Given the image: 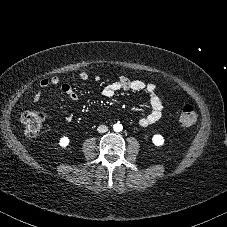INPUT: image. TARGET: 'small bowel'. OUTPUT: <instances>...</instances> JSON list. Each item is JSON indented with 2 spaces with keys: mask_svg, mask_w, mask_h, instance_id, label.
I'll list each match as a JSON object with an SVG mask.
<instances>
[{
  "mask_svg": "<svg viewBox=\"0 0 227 227\" xmlns=\"http://www.w3.org/2000/svg\"><path fill=\"white\" fill-rule=\"evenodd\" d=\"M89 78L86 72H81L78 75V79L82 82L87 81ZM95 82H99L100 78L98 76L94 77ZM50 86H58L60 92L67 96L72 101H79L80 95L73 88L72 85L68 83H63L60 78L52 77L50 79H43L40 82V88L35 92L33 96V104H38L42 98L43 90ZM129 91H145L149 97L150 110L139 119L138 123L140 126H148L156 121H158L163 113V104L157 93V88L152 83H146L142 80H131L126 76L119 77L118 80L107 84L103 89V95L106 97H112L117 92H129ZM65 122H71L72 117L66 116Z\"/></svg>",
  "mask_w": 227,
  "mask_h": 227,
  "instance_id": "c3829d8e",
  "label": "small bowel"
}]
</instances>
